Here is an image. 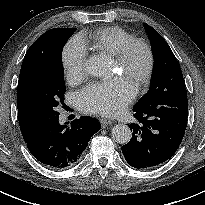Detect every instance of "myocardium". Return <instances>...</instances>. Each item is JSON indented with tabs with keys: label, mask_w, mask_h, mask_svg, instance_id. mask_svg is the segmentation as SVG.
I'll use <instances>...</instances> for the list:
<instances>
[{
	"label": "myocardium",
	"mask_w": 205,
	"mask_h": 205,
	"mask_svg": "<svg viewBox=\"0 0 205 205\" xmlns=\"http://www.w3.org/2000/svg\"><path fill=\"white\" fill-rule=\"evenodd\" d=\"M142 49L146 55V64L142 73L136 78L139 86H144L152 77L155 67V56L151 45L144 39L134 38L128 42L115 56V61L121 70H125L136 49Z\"/></svg>",
	"instance_id": "f54148a6"
}]
</instances>
